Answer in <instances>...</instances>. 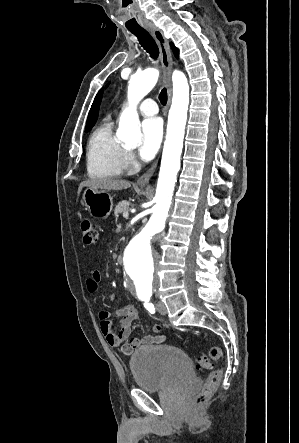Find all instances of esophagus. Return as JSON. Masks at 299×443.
<instances>
[{"instance_id":"34e87169","label":"esophagus","mask_w":299,"mask_h":443,"mask_svg":"<svg viewBox=\"0 0 299 443\" xmlns=\"http://www.w3.org/2000/svg\"><path fill=\"white\" fill-rule=\"evenodd\" d=\"M148 30L154 36L160 50V58L164 73V83L168 90V103H167V109H168L171 103V96H172L171 72L173 67V60H172L171 50L167 39L165 38L163 32L159 28L150 27L148 28ZM156 167H157V162H155L146 173H144L138 178L137 184L140 186H148L149 181L153 176Z\"/></svg>"}]
</instances>
